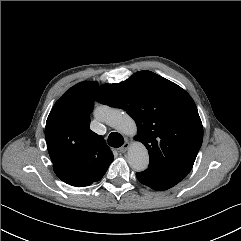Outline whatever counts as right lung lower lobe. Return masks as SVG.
I'll use <instances>...</instances> for the list:
<instances>
[{
    "label": "right lung lower lobe",
    "instance_id": "98d812e1",
    "mask_svg": "<svg viewBox=\"0 0 241 241\" xmlns=\"http://www.w3.org/2000/svg\"><path fill=\"white\" fill-rule=\"evenodd\" d=\"M53 169L58 178H60L63 182L75 187L89 186L93 182L99 181L102 178L92 179L89 177L79 176L59 167Z\"/></svg>",
    "mask_w": 241,
    "mask_h": 241
}]
</instances>
